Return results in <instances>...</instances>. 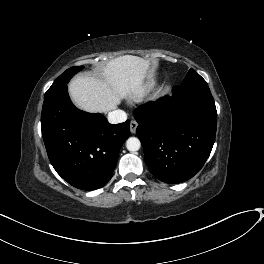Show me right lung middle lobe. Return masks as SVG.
<instances>
[{
  "mask_svg": "<svg viewBox=\"0 0 264 264\" xmlns=\"http://www.w3.org/2000/svg\"><path fill=\"white\" fill-rule=\"evenodd\" d=\"M83 66H74L69 69H67L65 72H63L51 85V87L47 90L45 93V97L56 92L57 90L65 87L67 83L70 81V79L80 70H82Z\"/></svg>",
  "mask_w": 264,
  "mask_h": 264,
  "instance_id": "dd1d6c3e",
  "label": "right lung middle lobe"
}]
</instances>
